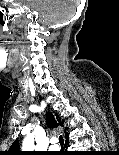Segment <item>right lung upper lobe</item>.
Masks as SVG:
<instances>
[{
    "mask_svg": "<svg viewBox=\"0 0 119 155\" xmlns=\"http://www.w3.org/2000/svg\"><path fill=\"white\" fill-rule=\"evenodd\" d=\"M47 124L51 128L63 126V122L60 121L59 117L54 112L47 114ZM67 135L68 133L65 132V137H67ZM18 148L19 142L18 140H15L10 146L9 151H7V155H23V152L18 151Z\"/></svg>",
    "mask_w": 119,
    "mask_h": 155,
    "instance_id": "obj_1",
    "label": "right lung upper lobe"
}]
</instances>
